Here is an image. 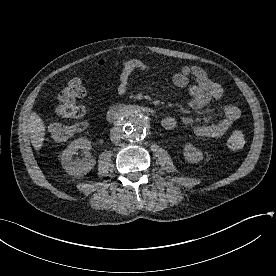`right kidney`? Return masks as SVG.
Instances as JSON below:
<instances>
[{
	"label": "right kidney",
	"instance_id": "1",
	"mask_svg": "<svg viewBox=\"0 0 276 276\" xmlns=\"http://www.w3.org/2000/svg\"><path fill=\"white\" fill-rule=\"evenodd\" d=\"M91 149V142L86 138H80L73 141L62 153L61 164L65 171L74 177H82L86 175L94 167L96 161L88 151ZM79 150L84 151L85 158L73 159L72 156L77 154Z\"/></svg>",
	"mask_w": 276,
	"mask_h": 276
}]
</instances>
